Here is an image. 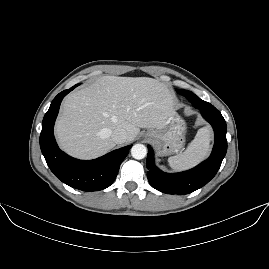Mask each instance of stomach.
<instances>
[{
	"label": "stomach",
	"mask_w": 269,
	"mask_h": 269,
	"mask_svg": "<svg viewBox=\"0 0 269 269\" xmlns=\"http://www.w3.org/2000/svg\"><path fill=\"white\" fill-rule=\"evenodd\" d=\"M185 122L177 114L170 116L162 129H151L148 132L152 140L160 149L162 155H169L180 151L185 143Z\"/></svg>",
	"instance_id": "stomach-1"
}]
</instances>
